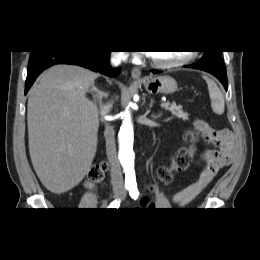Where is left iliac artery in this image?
I'll use <instances>...</instances> for the list:
<instances>
[{
    "mask_svg": "<svg viewBox=\"0 0 260 260\" xmlns=\"http://www.w3.org/2000/svg\"><path fill=\"white\" fill-rule=\"evenodd\" d=\"M129 194L131 196V198L133 199H137L138 196H139V191H138V188L136 185H131L130 188H129Z\"/></svg>",
    "mask_w": 260,
    "mask_h": 260,
    "instance_id": "44dca946",
    "label": "left iliac artery"
}]
</instances>
